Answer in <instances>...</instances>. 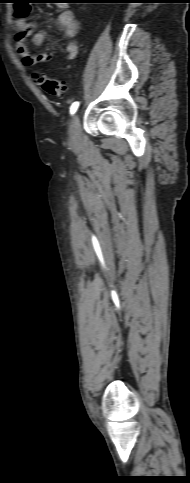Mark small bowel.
<instances>
[{
	"instance_id": "small-bowel-1",
	"label": "small bowel",
	"mask_w": 190,
	"mask_h": 483,
	"mask_svg": "<svg viewBox=\"0 0 190 483\" xmlns=\"http://www.w3.org/2000/svg\"><path fill=\"white\" fill-rule=\"evenodd\" d=\"M28 12L29 7L27 9L26 16ZM25 17L20 18L17 16L16 19L15 48L23 64L28 67H33L41 62L48 61L57 55L59 50L53 49L40 54L31 53L27 47L26 39L32 35L35 25L27 22ZM56 23L62 29L63 37L67 41V45L65 47L66 58L68 60H73L78 52L77 45L74 42L79 29L75 14L69 9H64L58 14ZM45 40L46 34L44 32H37L32 37V43L38 47L42 46Z\"/></svg>"
}]
</instances>
